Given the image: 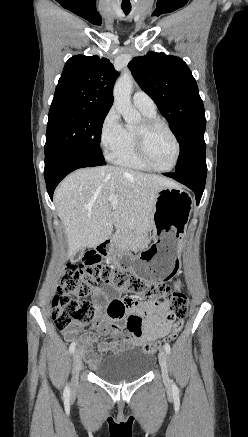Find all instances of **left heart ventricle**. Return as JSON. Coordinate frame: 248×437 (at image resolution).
I'll return each instance as SVG.
<instances>
[{
	"instance_id": "b2bd125f",
	"label": "left heart ventricle",
	"mask_w": 248,
	"mask_h": 437,
	"mask_svg": "<svg viewBox=\"0 0 248 437\" xmlns=\"http://www.w3.org/2000/svg\"><path fill=\"white\" fill-rule=\"evenodd\" d=\"M176 147L170 134L163 127L154 129L147 140V154L157 168L166 169L173 163Z\"/></svg>"
}]
</instances>
